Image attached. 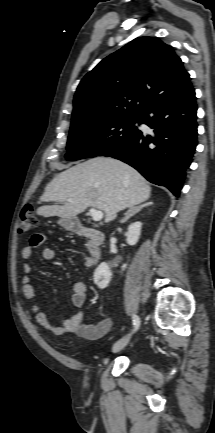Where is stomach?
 Here are the masks:
<instances>
[{
    "label": "stomach",
    "instance_id": "obj_1",
    "mask_svg": "<svg viewBox=\"0 0 215 433\" xmlns=\"http://www.w3.org/2000/svg\"><path fill=\"white\" fill-rule=\"evenodd\" d=\"M73 218L72 219H67V218H61L59 221H58V224L60 225V226H62L63 228H65L66 230H73V228H74V224H73Z\"/></svg>",
    "mask_w": 215,
    "mask_h": 433
}]
</instances>
